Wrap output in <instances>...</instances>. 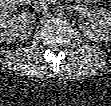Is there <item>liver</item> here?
Here are the masks:
<instances>
[{
  "label": "liver",
  "instance_id": "1",
  "mask_svg": "<svg viewBox=\"0 0 111 106\" xmlns=\"http://www.w3.org/2000/svg\"><path fill=\"white\" fill-rule=\"evenodd\" d=\"M18 4H19L18 0H1L0 1L1 21L5 20L8 14H10L12 11L16 9V5ZM1 36H2V33H1Z\"/></svg>",
  "mask_w": 111,
  "mask_h": 106
}]
</instances>
